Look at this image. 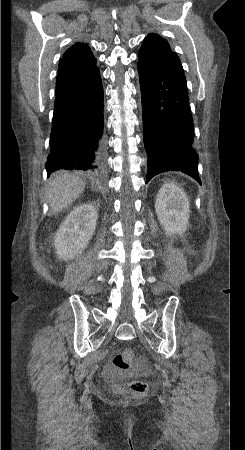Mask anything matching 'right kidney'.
<instances>
[{
    "instance_id": "1",
    "label": "right kidney",
    "mask_w": 245,
    "mask_h": 450,
    "mask_svg": "<svg viewBox=\"0 0 245 450\" xmlns=\"http://www.w3.org/2000/svg\"><path fill=\"white\" fill-rule=\"evenodd\" d=\"M97 217L96 209L88 203L71 211L55 234L54 246L59 259H73L87 247L95 231Z\"/></svg>"
}]
</instances>
